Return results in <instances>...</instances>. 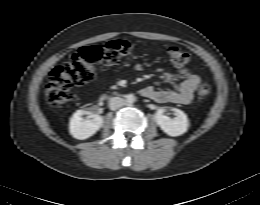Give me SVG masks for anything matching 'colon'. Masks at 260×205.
Listing matches in <instances>:
<instances>
[{
    "mask_svg": "<svg viewBox=\"0 0 260 205\" xmlns=\"http://www.w3.org/2000/svg\"><path fill=\"white\" fill-rule=\"evenodd\" d=\"M132 45L124 40H112L98 45L82 47L62 65L56 66L50 73L45 94L51 105H59L74 100L76 89L91 81L98 72V66L122 64L132 54ZM167 53L175 65H182L189 59L186 50L171 46ZM211 92L206 81H199L196 95L205 99Z\"/></svg>",
    "mask_w": 260,
    "mask_h": 205,
    "instance_id": "1",
    "label": "colon"
}]
</instances>
